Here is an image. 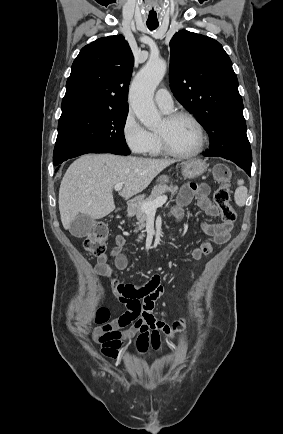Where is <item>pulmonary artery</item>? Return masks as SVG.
<instances>
[{
  "mask_svg": "<svg viewBox=\"0 0 283 434\" xmlns=\"http://www.w3.org/2000/svg\"><path fill=\"white\" fill-rule=\"evenodd\" d=\"M155 103L165 112L173 109L174 103L170 92L166 88H160L155 93Z\"/></svg>",
  "mask_w": 283,
  "mask_h": 434,
  "instance_id": "pulmonary-artery-1",
  "label": "pulmonary artery"
}]
</instances>
